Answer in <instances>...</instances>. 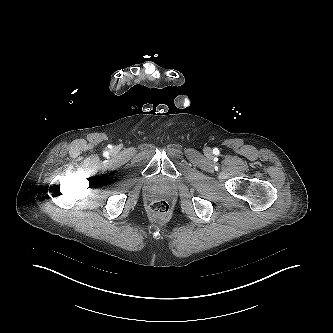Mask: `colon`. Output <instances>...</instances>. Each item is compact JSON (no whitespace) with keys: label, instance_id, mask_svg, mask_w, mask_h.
Segmentation results:
<instances>
[{"label":"colon","instance_id":"5ec220e1","mask_svg":"<svg viewBox=\"0 0 333 333\" xmlns=\"http://www.w3.org/2000/svg\"><path fill=\"white\" fill-rule=\"evenodd\" d=\"M150 211L157 216H166L170 211V206L167 201L158 199L150 204Z\"/></svg>","mask_w":333,"mask_h":333}]
</instances>
